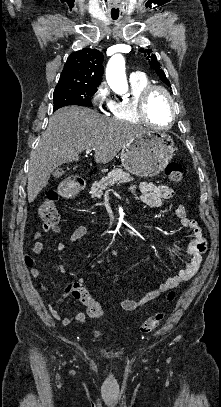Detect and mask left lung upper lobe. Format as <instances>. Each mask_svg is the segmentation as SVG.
I'll return each instance as SVG.
<instances>
[{
	"mask_svg": "<svg viewBox=\"0 0 221 407\" xmlns=\"http://www.w3.org/2000/svg\"><path fill=\"white\" fill-rule=\"evenodd\" d=\"M140 52L144 53L148 63L150 64L151 68L155 70L159 78L168 86H170L169 80L166 78L164 71L161 69L160 63L158 62L155 54L151 49L141 48Z\"/></svg>",
	"mask_w": 221,
	"mask_h": 407,
	"instance_id": "obj_1",
	"label": "left lung upper lobe"
}]
</instances>
